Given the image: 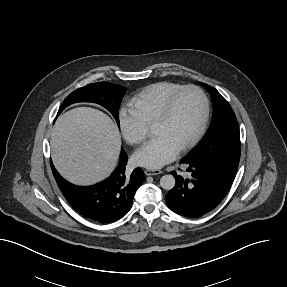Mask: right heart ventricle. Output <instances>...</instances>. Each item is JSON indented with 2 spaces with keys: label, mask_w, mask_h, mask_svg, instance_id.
<instances>
[{
  "label": "right heart ventricle",
  "mask_w": 287,
  "mask_h": 287,
  "mask_svg": "<svg viewBox=\"0 0 287 287\" xmlns=\"http://www.w3.org/2000/svg\"><path fill=\"white\" fill-rule=\"evenodd\" d=\"M180 87V84L168 81L152 84L131 98L129 106L140 116L147 126H150L161 111L169 95Z\"/></svg>",
  "instance_id": "1"
}]
</instances>
